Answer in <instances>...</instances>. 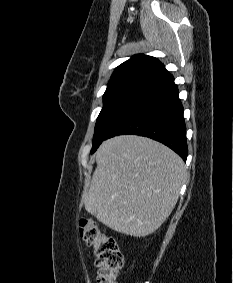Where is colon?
I'll return each instance as SVG.
<instances>
[{
    "mask_svg": "<svg viewBox=\"0 0 233 283\" xmlns=\"http://www.w3.org/2000/svg\"><path fill=\"white\" fill-rule=\"evenodd\" d=\"M79 231L83 240L94 249L98 269L97 283H115L117 273L123 265V256L116 240L105 234L92 219H82Z\"/></svg>",
    "mask_w": 233,
    "mask_h": 283,
    "instance_id": "obj_1",
    "label": "colon"
}]
</instances>
